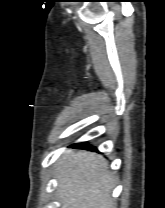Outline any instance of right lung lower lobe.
I'll return each instance as SVG.
<instances>
[{"label": "right lung lower lobe", "mask_w": 165, "mask_h": 208, "mask_svg": "<svg viewBox=\"0 0 165 208\" xmlns=\"http://www.w3.org/2000/svg\"><path fill=\"white\" fill-rule=\"evenodd\" d=\"M74 147H81V148H90L92 150H96L95 148L89 147V145L86 142L83 143H77L73 145Z\"/></svg>", "instance_id": "1"}]
</instances>
